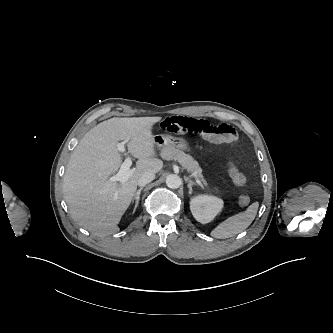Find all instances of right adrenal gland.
<instances>
[{
	"instance_id": "2a0ac1e0",
	"label": "right adrenal gland",
	"mask_w": 333,
	"mask_h": 333,
	"mask_svg": "<svg viewBox=\"0 0 333 333\" xmlns=\"http://www.w3.org/2000/svg\"><path fill=\"white\" fill-rule=\"evenodd\" d=\"M143 190V187H141L140 189L137 190V192L135 193L134 197L132 198V202H134L135 200V206H134V210L133 213L136 211V208L139 204V199H140V193Z\"/></svg>"
}]
</instances>
